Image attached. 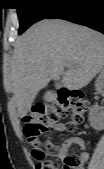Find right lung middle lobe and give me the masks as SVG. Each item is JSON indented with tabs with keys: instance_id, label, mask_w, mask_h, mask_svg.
<instances>
[{
	"instance_id": "dd1d6c3e",
	"label": "right lung middle lobe",
	"mask_w": 104,
	"mask_h": 169,
	"mask_svg": "<svg viewBox=\"0 0 104 169\" xmlns=\"http://www.w3.org/2000/svg\"><path fill=\"white\" fill-rule=\"evenodd\" d=\"M22 34L33 23L47 19L64 4L72 0H15Z\"/></svg>"
}]
</instances>
